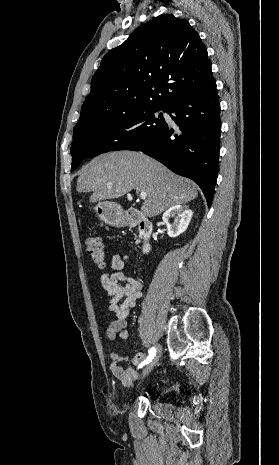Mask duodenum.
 Wrapping results in <instances>:
<instances>
[{"label": "duodenum", "instance_id": "duodenum-1", "mask_svg": "<svg viewBox=\"0 0 279 465\" xmlns=\"http://www.w3.org/2000/svg\"><path fill=\"white\" fill-rule=\"evenodd\" d=\"M124 224L129 227H137L142 243V252L148 253L150 250V239L153 232L152 223L141 216L136 211H129L124 217Z\"/></svg>", "mask_w": 279, "mask_h": 465}]
</instances>
